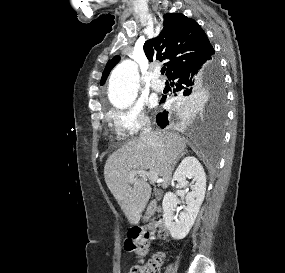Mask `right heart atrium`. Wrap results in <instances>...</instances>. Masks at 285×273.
<instances>
[{"label":"right heart atrium","mask_w":285,"mask_h":273,"mask_svg":"<svg viewBox=\"0 0 285 273\" xmlns=\"http://www.w3.org/2000/svg\"><path fill=\"white\" fill-rule=\"evenodd\" d=\"M115 130L122 137H130L146 128L149 119L139 103L126 108L113 109L110 113Z\"/></svg>","instance_id":"1"}]
</instances>
